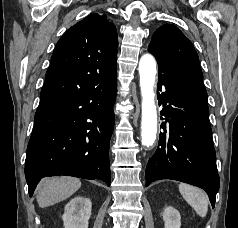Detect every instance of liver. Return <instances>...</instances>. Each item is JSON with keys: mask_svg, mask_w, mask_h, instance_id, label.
<instances>
[{"mask_svg": "<svg viewBox=\"0 0 238 228\" xmlns=\"http://www.w3.org/2000/svg\"><path fill=\"white\" fill-rule=\"evenodd\" d=\"M81 187V181L73 177H53L43 179L37 187V202L44 208L73 195Z\"/></svg>", "mask_w": 238, "mask_h": 228, "instance_id": "obj_1", "label": "liver"}]
</instances>
